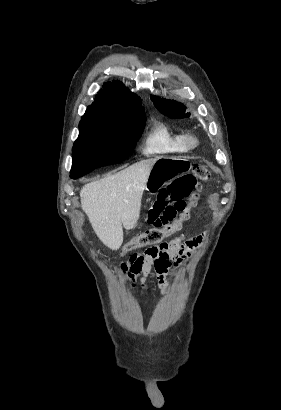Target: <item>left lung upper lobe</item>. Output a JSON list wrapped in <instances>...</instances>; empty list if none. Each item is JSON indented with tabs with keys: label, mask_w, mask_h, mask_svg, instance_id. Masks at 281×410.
Masks as SVG:
<instances>
[{
	"label": "left lung upper lobe",
	"mask_w": 281,
	"mask_h": 410,
	"mask_svg": "<svg viewBox=\"0 0 281 410\" xmlns=\"http://www.w3.org/2000/svg\"><path fill=\"white\" fill-rule=\"evenodd\" d=\"M151 100L153 101L155 107L164 115L170 118H188L190 113L185 112V107L178 102L173 100H166L161 99L157 96H151Z\"/></svg>",
	"instance_id": "1"
}]
</instances>
